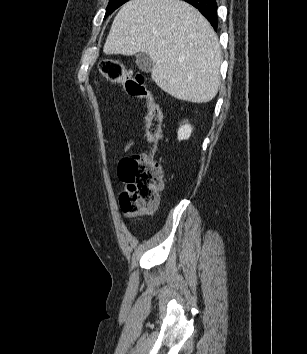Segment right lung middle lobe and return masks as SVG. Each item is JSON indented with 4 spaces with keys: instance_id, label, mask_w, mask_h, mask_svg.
<instances>
[{
    "instance_id": "dd1d6c3e",
    "label": "right lung middle lobe",
    "mask_w": 307,
    "mask_h": 354,
    "mask_svg": "<svg viewBox=\"0 0 307 354\" xmlns=\"http://www.w3.org/2000/svg\"><path fill=\"white\" fill-rule=\"evenodd\" d=\"M127 1L128 0H110L106 9L105 18Z\"/></svg>"
}]
</instances>
